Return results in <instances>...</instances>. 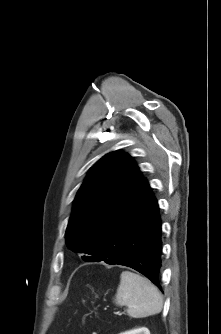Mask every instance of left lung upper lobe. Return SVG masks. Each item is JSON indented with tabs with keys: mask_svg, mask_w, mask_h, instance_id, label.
I'll use <instances>...</instances> for the list:
<instances>
[{
	"mask_svg": "<svg viewBox=\"0 0 221 334\" xmlns=\"http://www.w3.org/2000/svg\"><path fill=\"white\" fill-rule=\"evenodd\" d=\"M143 177L132 157L114 151L102 157L80 187L66 230V244L93 261L104 232L134 193Z\"/></svg>",
	"mask_w": 221,
	"mask_h": 334,
	"instance_id": "5c2ea615",
	"label": "left lung upper lobe"
}]
</instances>
